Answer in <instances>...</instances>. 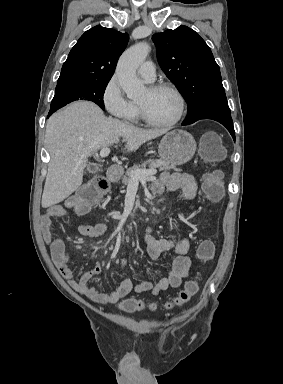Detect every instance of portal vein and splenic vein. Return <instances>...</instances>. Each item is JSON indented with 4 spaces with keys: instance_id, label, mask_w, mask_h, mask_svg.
<instances>
[{
    "instance_id": "portal-vein-and-splenic-vein-1",
    "label": "portal vein and splenic vein",
    "mask_w": 283,
    "mask_h": 384,
    "mask_svg": "<svg viewBox=\"0 0 283 384\" xmlns=\"http://www.w3.org/2000/svg\"><path fill=\"white\" fill-rule=\"evenodd\" d=\"M109 154L110 148H102L101 158H106ZM155 174H157V170H136L131 176V182H138V180H144V178H155Z\"/></svg>"
}]
</instances>
